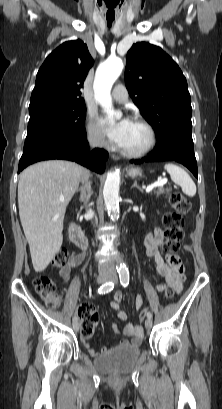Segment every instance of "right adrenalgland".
<instances>
[{"label": "right adrenal gland", "instance_id": "obj_1", "mask_svg": "<svg viewBox=\"0 0 222 409\" xmlns=\"http://www.w3.org/2000/svg\"><path fill=\"white\" fill-rule=\"evenodd\" d=\"M76 193H79V201L83 202L85 199V195H86V191L84 187L77 188Z\"/></svg>", "mask_w": 222, "mask_h": 409}]
</instances>
